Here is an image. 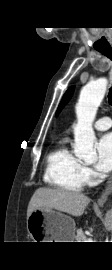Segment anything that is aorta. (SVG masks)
<instances>
[{"label":"aorta","instance_id":"1","mask_svg":"<svg viewBox=\"0 0 112 270\" xmlns=\"http://www.w3.org/2000/svg\"><path fill=\"white\" fill-rule=\"evenodd\" d=\"M107 79L99 78L88 83L82 90L76 105L77 124L74 126V154L79 159L96 161L97 153L93 148L96 139L92 124L98 106L104 98Z\"/></svg>","mask_w":112,"mask_h":270}]
</instances>
